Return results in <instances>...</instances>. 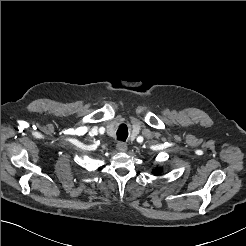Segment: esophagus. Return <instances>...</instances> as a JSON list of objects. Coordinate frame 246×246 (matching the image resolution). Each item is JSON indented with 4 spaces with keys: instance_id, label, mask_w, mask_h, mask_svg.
<instances>
[{
    "instance_id": "34e87169",
    "label": "esophagus",
    "mask_w": 246,
    "mask_h": 246,
    "mask_svg": "<svg viewBox=\"0 0 246 246\" xmlns=\"http://www.w3.org/2000/svg\"><path fill=\"white\" fill-rule=\"evenodd\" d=\"M116 148L120 152H125V151H127V148L128 147H127V144L126 143H124V142H118L117 145H116Z\"/></svg>"
}]
</instances>
